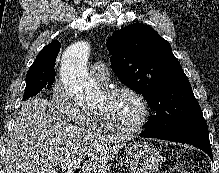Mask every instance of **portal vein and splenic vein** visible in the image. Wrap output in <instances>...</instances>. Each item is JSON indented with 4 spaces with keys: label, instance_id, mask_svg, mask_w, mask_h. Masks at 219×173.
Returning a JSON list of instances; mask_svg holds the SVG:
<instances>
[{
    "label": "portal vein and splenic vein",
    "instance_id": "obj_1",
    "mask_svg": "<svg viewBox=\"0 0 219 173\" xmlns=\"http://www.w3.org/2000/svg\"><path fill=\"white\" fill-rule=\"evenodd\" d=\"M73 172H74L73 168H70V169L67 170V173H73Z\"/></svg>",
    "mask_w": 219,
    "mask_h": 173
}]
</instances>
